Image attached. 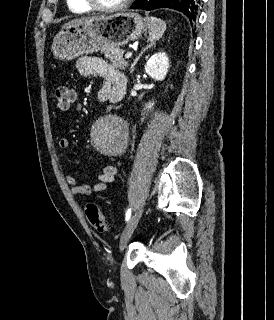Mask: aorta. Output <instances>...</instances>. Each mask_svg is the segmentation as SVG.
Returning a JSON list of instances; mask_svg holds the SVG:
<instances>
[{
  "mask_svg": "<svg viewBox=\"0 0 274 320\" xmlns=\"http://www.w3.org/2000/svg\"><path fill=\"white\" fill-rule=\"evenodd\" d=\"M128 133L126 123L115 115H109L98 120L91 131V143L99 152L105 155H115L124 144Z\"/></svg>",
  "mask_w": 274,
  "mask_h": 320,
  "instance_id": "762f6f07",
  "label": "aorta"
}]
</instances>
